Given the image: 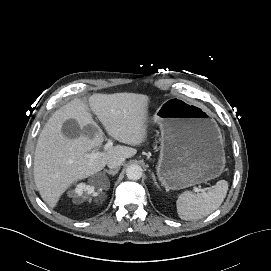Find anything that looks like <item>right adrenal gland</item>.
<instances>
[{"label": "right adrenal gland", "instance_id": "right-adrenal-gland-1", "mask_svg": "<svg viewBox=\"0 0 271 271\" xmlns=\"http://www.w3.org/2000/svg\"><path fill=\"white\" fill-rule=\"evenodd\" d=\"M106 173H108L109 175L114 176L116 173H118L119 169L116 170H104Z\"/></svg>", "mask_w": 271, "mask_h": 271}]
</instances>
